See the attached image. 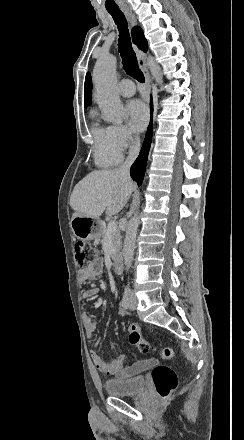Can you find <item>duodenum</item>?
Returning a JSON list of instances; mask_svg holds the SVG:
<instances>
[{
    "mask_svg": "<svg viewBox=\"0 0 244 440\" xmlns=\"http://www.w3.org/2000/svg\"><path fill=\"white\" fill-rule=\"evenodd\" d=\"M113 262H114V269L117 273H122L123 272V257L122 255L118 254L113 258Z\"/></svg>",
    "mask_w": 244,
    "mask_h": 440,
    "instance_id": "410a0bca",
    "label": "duodenum"
}]
</instances>
